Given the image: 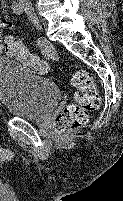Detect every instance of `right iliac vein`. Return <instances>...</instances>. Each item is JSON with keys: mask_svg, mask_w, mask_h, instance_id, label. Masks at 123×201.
Wrapping results in <instances>:
<instances>
[{"mask_svg": "<svg viewBox=\"0 0 123 201\" xmlns=\"http://www.w3.org/2000/svg\"><path fill=\"white\" fill-rule=\"evenodd\" d=\"M28 16H29V19L31 20V22L34 24V26L37 28V29H42V26L35 14V12L32 10V9H28Z\"/></svg>", "mask_w": 123, "mask_h": 201, "instance_id": "obj_1", "label": "right iliac vein"}]
</instances>
